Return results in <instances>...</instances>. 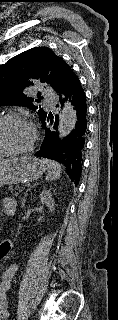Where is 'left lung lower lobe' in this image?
Segmentation results:
<instances>
[{
  "label": "left lung lower lobe",
  "instance_id": "1",
  "mask_svg": "<svg viewBox=\"0 0 118 320\" xmlns=\"http://www.w3.org/2000/svg\"><path fill=\"white\" fill-rule=\"evenodd\" d=\"M59 104L71 102L76 110L77 120L75 127L67 136L60 138L56 131L58 116L45 115L40 121L45 130V137L36 156L45 157L62 163L69 178L78 184L82 171L83 149L87 130V106L85 93L80 81L73 72L58 92ZM58 106V105H57ZM51 121V124L48 121Z\"/></svg>",
  "mask_w": 118,
  "mask_h": 320
}]
</instances>
